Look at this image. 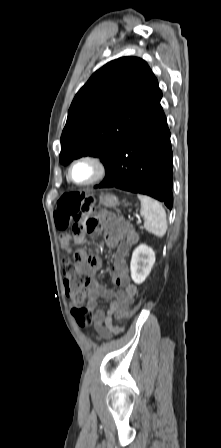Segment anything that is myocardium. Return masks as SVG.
Returning a JSON list of instances; mask_svg holds the SVG:
<instances>
[{
  "mask_svg": "<svg viewBox=\"0 0 221 448\" xmlns=\"http://www.w3.org/2000/svg\"><path fill=\"white\" fill-rule=\"evenodd\" d=\"M89 163L91 164L94 168H95V176L86 181V182H76L73 180L72 176H71V171L72 168L77 164V163ZM109 169L107 164L105 163V161L100 158L99 156L96 155H82L80 157L75 158L69 165L68 170H67V177L68 180L79 187H89L92 185H96L98 183H100L101 181H103L106 176L108 175Z\"/></svg>",
  "mask_w": 221,
  "mask_h": 448,
  "instance_id": "myocardium-1",
  "label": "myocardium"
}]
</instances>
